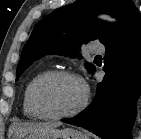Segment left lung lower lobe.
<instances>
[{"label": "left lung lower lobe", "instance_id": "0a47b994", "mask_svg": "<svg viewBox=\"0 0 141 139\" xmlns=\"http://www.w3.org/2000/svg\"><path fill=\"white\" fill-rule=\"evenodd\" d=\"M104 79L92 103L63 122L84 127L104 139H131L141 91V20L105 44Z\"/></svg>", "mask_w": 141, "mask_h": 139}]
</instances>
